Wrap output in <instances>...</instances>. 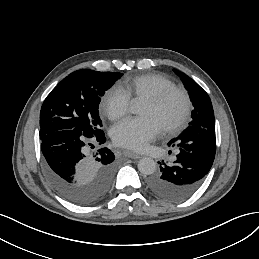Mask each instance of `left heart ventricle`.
<instances>
[{"instance_id": "b2bd125f", "label": "left heart ventricle", "mask_w": 259, "mask_h": 259, "mask_svg": "<svg viewBox=\"0 0 259 259\" xmlns=\"http://www.w3.org/2000/svg\"><path fill=\"white\" fill-rule=\"evenodd\" d=\"M182 110V98L179 95H175L159 107L153 106L145 100L140 115L142 117H152L162 128L174 123L181 115Z\"/></svg>"}]
</instances>
